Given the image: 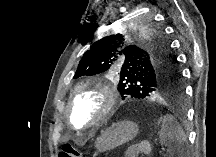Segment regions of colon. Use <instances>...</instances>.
<instances>
[{
  "label": "colon",
  "mask_w": 216,
  "mask_h": 157,
  "mask_svg": "<svg viewBox=\"0 0 216 157\" xmlns=\"http://www.w3.org/2000/svg\"><path fill=\"white\" fill-rule=\"evenodd\" d=\"M59 157H80V154L71 145H64L59 152Z\"/></svg>",
  "instance_id": "obj_1"
}]
</instances>
